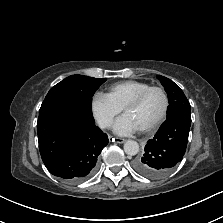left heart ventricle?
<instances>
[{"label":"left heart ventricle","mask_w":223,"mask_h":223,"mask_svg":"<svg viewBox=\"0 0 223 223\" xmlns=\"http://www.w3.org/2000/svg\"><path fill=\"white\" fill-rule=\"evenodd\" d=\"M163 107L162 93L153 90L145 96L139 105L128 109L125 114L141 129L152 124L162 113Z\"/></svg>","instance_id":"left-heart-ventricle-1"}]
</instances>
